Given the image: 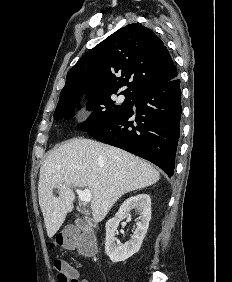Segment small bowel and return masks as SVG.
<instances>
[{
  "mask_svg": "<svg viewBox=\"0 0 232 282\" xmlns=\"http://www.w3.org/2000/svg\"><path fill=\"white\" fill-rule=\"evenodd\" d=\"M72 273H73V276H74L75 279H76V282H90L89 280H87V279H85V278H80L78 271L75 270L74 268H73V270H72Z\"/></svg>",
  "mask_w": 232,
  "mask_h": 282,
  "instance_id": "small-bowel-1",
  "label": "small bowel"
}]
</instances>
